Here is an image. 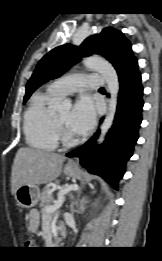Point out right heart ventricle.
Instances as JSON below:
<instances>
[{
    "instance_id": "1",
    "label": "right heart ventricle",
    "mask_w": 162,
    "mask_h": 261,
    "mask_svg": "<svg viewBox=\"0 0 162 261\" xmlns=\"http://www.w3.org/2000/svg\"><path fill=\"white\" fill-rule=\"evenodd\" d=\"M58 97L48 89L32 96L23 123L25 139L30 147L43 151L56 149L58 139L53 126L51 104Z\"/></svg>"
}]
</instances>
